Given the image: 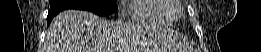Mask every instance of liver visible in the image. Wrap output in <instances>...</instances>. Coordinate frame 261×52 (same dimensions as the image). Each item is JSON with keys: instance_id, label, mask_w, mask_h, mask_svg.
Returning a JSON list of instances; mask_svg holds the SVG:
<instances>
[{"instance_id": "liver-1", "label": "liver", "mask_w": 261, "mask_h": 52, "mask_svg": "<svg viewBox=\"0 0 261 52\" xmlns=\"http://www.w3.org/2000/svg\"><path fill=\"white\" fill-rule=\"evenodd\" d=\"M133 23L110 22L87 11L65 10L50 24L45 52H134Z\"/></svg>"}]
</instances>
